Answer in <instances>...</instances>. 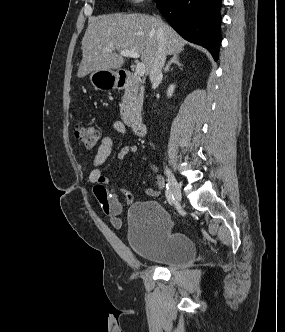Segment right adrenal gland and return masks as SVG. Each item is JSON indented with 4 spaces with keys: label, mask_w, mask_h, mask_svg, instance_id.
<instances>
[{
    "label": "right adrenal gland",
    "mask_w": 285,
    "mask_h": 332,
    "mask_svg": "<svg viewBox=\"0 0 285 332\" xmlns=\"http://www.w3.org/2000/svg\"><path fill=\"white\" fill-rule=\"evenodd\" d=\"M172 64H175L177 66H182V64L179 61V54H174L171 60L168 62L166 67L164 68V72L167 73L169 71V68Z\"/></svg>",
    "instance_id": "obj_1"
}]
</instances>
